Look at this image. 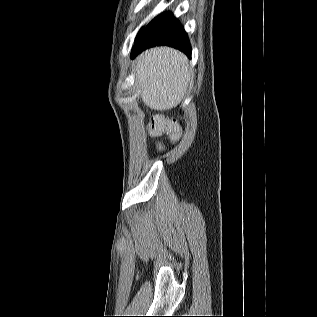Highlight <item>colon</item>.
<instances>
[{
  "label": "colon",
  "mask_w": 317,
  "mask_h": 317,
  "mask_svg": "<svg viewBox=\"0 0 317 317\" xmlns=\"http://www.w3.org/2000/svg\"><path fill=\"white\" fill-rule=\"evenodd\" d=\"M149 130L151 134L155 136L167 134L172 141H176L179 138V127L177 122L174 119L166 118L162 115L151 117Z\"/></svg>",
  "instance_id": "obj_1"
}]
</instances>
